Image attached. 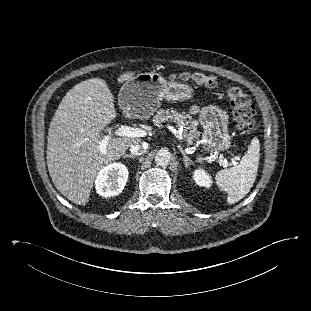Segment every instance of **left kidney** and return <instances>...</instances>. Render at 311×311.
Returning a JSON list of instances; mask_svg holds the SVG:
<instances>
[{
  "instance_id": "obj_1",
  "label": "left kidney",
  "mask_w": 311,
  "mask_h": 311,
  "mask_svg": "<svg viewBox=\"0 0 311 311\" xmlns=\"http://www.w3.org/2000/svg\"><path fill=\"white\" fill-rule=\"evenodd\" d=\"M193 178L197 185L209 188L212 185L211 177L205 170L197 169L193 172Z\"/></svg>"
}]
</instances>
